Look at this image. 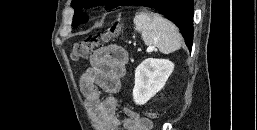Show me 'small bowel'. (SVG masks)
<instances>
[{
	"instance_id": "1",
	"label": "small bowel",
	"mask_w": 257,
	"mask_h": 130,
	"mask_svg": "<svg viewBox=\"0 0 257 130\" xmlns=\"http://www.w3.org/2000/svg\"><path fill=\"white\" fill-rule=\"evenodd\" d=\"M127 52L118 46H108L95 51L90 57V67L81 75L80 90L93 113L100 130H150L151 122L130 108H124L125 118L116 116L114 95L120 91L126 74ZM103 93L109 96L103 99Z\"/></svg>"
}]
</instances>
